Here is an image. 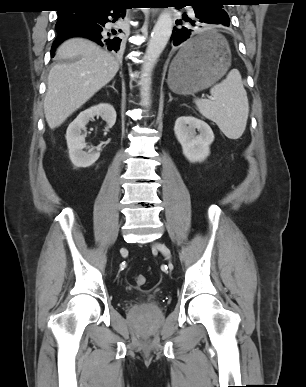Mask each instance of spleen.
I'll use <instances>...</instances> for the list:
<instances>
[{"instance_id": "3e777b00", "label": "spleen", "mask_w": 306, "mask_h": 387, "mask_svg": "<svg viewBox=\"0 0 306 387\" xmlns=\"http://www.w3.org/2000/svg\"><path fill=\"white\" fill-rule=\"evenodd\" d=\"M210 93L212 100L195 99L199 112L215 122L226 137L238 139L246 128L249 114L247 93L239 71L232 69Z\"/></svg>"}]
</instances>
